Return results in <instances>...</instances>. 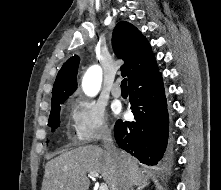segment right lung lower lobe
<instances>
[{
  "instance_id": "98d812e1",
  "label": "right lung lower lobe",
  "mask_w": 221,
  "mask_h": 190,
  "mask_svg": "<svg viewBox=\"0 0 221 190\" xmlns=\"http://www.w3.org/2000/svg\"><path fill=\"white\" fill-rule=\"evenodd\" d=\"M129 96L135 121L116 122V142L141 163L161 164L171 151L169 113L161 73L130 86Z\"/></svg>"
}]
</instances>
